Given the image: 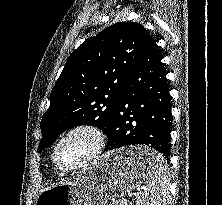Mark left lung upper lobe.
I'll use <instances>...</instances> for the list:
<instances>
[{"instance_id": "obj_1", "label": "left lung upper lobe", "mask_w": 222, "mask_h": 205, "mask_svg": "<svg viewBox=\"0 0 222 205\" xmlns=\"http://www.w3.org/2000/svg\"><path fill=\"white\" fill-rule=\"evenodd\" d=\"M150 37L139 23L117 22L72 52L42 117L38 152L75 126L92 125L108 134L127 76Z\"/></svg>"}]
</instances>
